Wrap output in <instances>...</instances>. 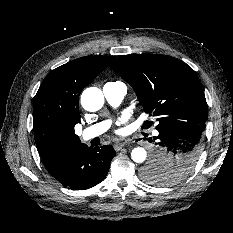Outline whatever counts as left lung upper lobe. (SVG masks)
Returning a JSON list of instances; mask_svg holds the SVG:
<instances>
[{"instance_id": "1", "label": "left lung upper lobe", "mask_w": 233, "mask_h": 233, "mask_svg": "<svg viewBox=\"0 0 233 233\" xmlns=\"http://www.w3.org/2000/svg\"><path fill=\"white\" fill-rule=\"evenodd\" d=\"M112 70L135 90L144 111L158 121L156 129L175 124L203 125L208 109L196 72L183 61L166 55L133 54L119 57ZM195 163L169 167L152 160L142 177L157 184H173L190 173Z\"/></svg>"}]
</instances>
